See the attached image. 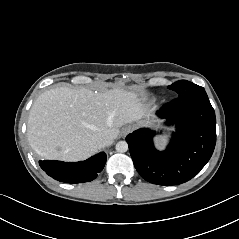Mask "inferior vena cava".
I'll return each mask as SVG.
<instances>
[{"label":"inferior vena cava","instance_id":"obj_1","mask_svg":"<svg viewBox=\"0 0 239 239\" xmlns=\"http://www.w3.org/2000/svg\"><path fill=\"white\" fill-rule=\"evenodd\" d=\"M111 144H112V141L107 137L102 138L99 142V146L101 148L105 147V146H108V145H111Z\"/></svg>","mask_w":239,"mask_h":239}]
</instances>
